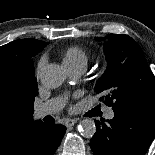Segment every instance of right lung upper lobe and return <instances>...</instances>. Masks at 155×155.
I'll return each instance as SVG.
<instances>
[{"label":"right lung upper lobe","mask_w":155,"mask_h":155,"mask_svg":"<svg viewBox=\"0 0 155 155\" xmlns=\"http://www.w3.org/2000/svg\"><path fill=\"white\" fill-rule=\"evenodd\" d=\"M47 44L48 42H43L36 39H20L1 46L0 79L12 78L23 63L31 60V58L38 54V52H40ZM33 111L34 108L27 118L25 128L19 137L11 141L0 140L1 155H11L16 148L17 142L27 131V129L39 122H42L41 120H33Z\"/></svg>","instance_id":"1"}]
</instances>
